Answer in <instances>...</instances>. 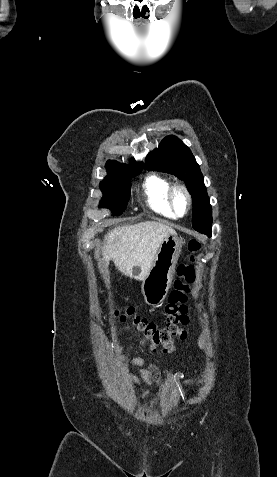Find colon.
Masks as SVG:
<instances>
[{
    "label": "colon",
    "mask_w": 277,
    "mask_h": 477,
    "mask_svg": "<svg viewBox=\"0 0 277 477\" xmlns=\"http://www.w3.org/2000/svg\"><path fill=\"white\" fill-rule=\"evenodd\" d=\"M201 243L193 238L188 243L190 252L189 263L181 264L178 267V278L174 283L165 311L167 322L165 326L159 327L148 319L135 313L132 307H128L123 312H117L116 315L122 322H129L131 328L142 336V342L148 345L152 350L162 349L169 352L173 349L176 339L184 340L187 337L185 326L189 322L188 307L186 305L190 285L196 277L193 266L194 253L199 251Z\"/></svg>",
    "instance_id": "obj_1"
}]
</instances>
